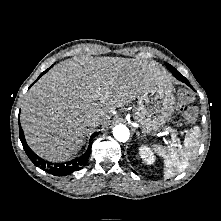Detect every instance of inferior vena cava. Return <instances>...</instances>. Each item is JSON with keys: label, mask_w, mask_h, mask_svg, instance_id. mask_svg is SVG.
Masks as SVG:
<instances>
[{"label": "inferior vena cava", "mask_w": 221, "mask_h": 221, "mask_svg": "<svg viewBox=\"0 0 221 221\" xmlns=\"http://www.w3.org/2000/svg\"><path fill=\"white\" fill-rule=\"evenodd\" d=\"M100 124H101V121H100V119L97 118V117H94V118H92V119H90V120L88 121V125H89V126H98V125H100Z\"/></svg>", "instance_id": "inferior-vena-cava-1"}]
</instances>
